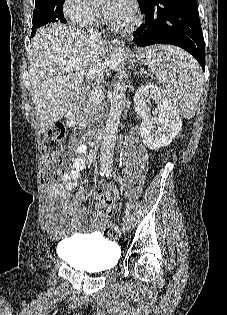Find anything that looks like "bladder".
I'll return each instance as SVG.
<instances>
[{
  "label": "bladder",
  "mask_w": 227,
  "mask_h": 315,
  "mask_svg": "<svg viewBox=\"0 0 227 315\" xmlns=\"http://www.w3.org/2000/svg\"><path fill=\"white\" fill-rule=\"evenodd\" d=\"M59 253L70 266L86 271L111 269L120 258L119 246L98 235L68 238Z\"/></svg>",
  "instance_id": "bladder-1"
}]
</instances>
